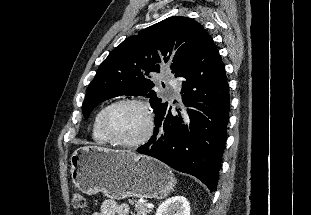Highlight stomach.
I'll use <instances>...</instances> for the list:
<instances>
[{
  "label": "stomach",
  "mask_w": 311,
  "mask_h": 215,
  "mask_svg": "<svg viewBox=\"0 0 311 215\" xmlns=\"http://www.w3.org/2000/svg\"><path fill=\"white\" fill-rule=\"evenodd\" d=\"M70 163L74 185L88 195L162 199L176 183L165 164L129 151L84 146L72 153Z\"/></svg>",
  "instance_id": "1"
}]
</instances>
